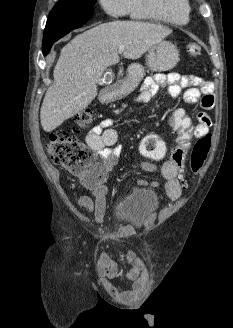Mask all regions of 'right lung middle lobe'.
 <instances>
[{
  "label": "right lung middle lobe",
  "mask_w": 233,
  "mask_h": 328,
  "mask_svg": "<svg viewBox=\"0 0 233 328\" xmlns=\"http://www.w3.org/2000/svg\"><path fill=\"white\" fill-rule=\"evenodd\" d=\"M96 0H58L49 17L54 16H92Z\"/></svg>",
  "instance_id": "obj_1"
}]
</instances>
